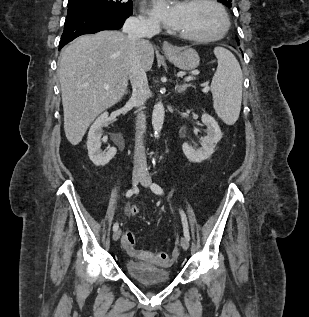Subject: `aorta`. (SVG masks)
I'll return each instance as SVG.
<instances>
[{
	"instance_id": "1",
	"label": "aorta",
	"mask_w": 309,
	"mask_h": 317,
	"mask_svg": "<svg viewBox=\"0 0 309 317\" xmlns=\"http://www.w3.org/2000/svg\"><path fill=\"white\" fill-rule=\"evenodd\" d=\"M165 116V109L161 102L157 103L154 106L153 113H152V126L154 129V135L156 138L159 137L160 131L163 126Z\"/></svg>"
}]
</instances>
